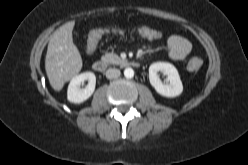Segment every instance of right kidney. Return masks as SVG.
<instances>
[{
  "label": "right kidney",
  "mask_w": 248,
  "mask_h": 165,
  "mask_svg": "<svg viewBox=\"0 0 248 165\" xmlns=\"http://www.w3.org/2000/svg\"><path fill=\"white\" fill-rule=\"evenodd\" d=\"M88 81L85 88H81L84 81ZM96 77L92 72H84L76 75L69 83L67 99L72 103H82L86 101L95 91Z\"/></svg>",
  "instance_id": "ca27d5eb"
}]
</instances>
